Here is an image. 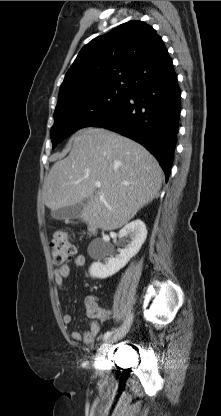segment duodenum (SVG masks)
Listing matches in <instances>:
<instances>
[{
	"instance_id": "410a0bca",
	"label": "duodenum",
	"mask_w": 221,
	"mask_h": 416,
	"mask_svg": "<svg viewBox=\"0 0 221 416\" xmlns=\"http://www.w3.org/2000/svg\"><path fill=\"white\" fill-rule=\"evenodd\" d=\"M90 230H91V232H95L96 231V227L94 225H91L90 226Z\"/></svg>"
}]
</instances>
